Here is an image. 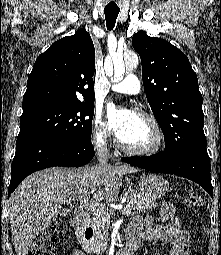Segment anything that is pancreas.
I'll return each instance as SVG.
<instances>
[{
    "label": "pancreas",
    "mask_w": 221,
    "mask_h": 255,
    "mask_svg": "<svg viewBox=\"0 0 221 255\" xmlns=\"http://www.w3.org/2000/svg\"><path fill=\"white\" fill-rule=\"evenodd\" d=\"M125 196L128 200V204L132 206V210L146 212L157 206L155 200L146 198L136 190H128ZM113 215L111 210H107L98 213L85 223V225H89L93 229L95 234L94 239L86 246L89 251H95L107 244L108 230L110 229L111 217H113Z\"/></svg>",
    "instance_id": "cf45deb5"
}]
</instances>
